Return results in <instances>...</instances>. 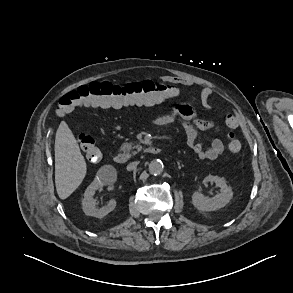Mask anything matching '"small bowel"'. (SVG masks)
I'll return each instance as SVG.
<instances>
[{
  "mask_svg": "<svg viewBox=\"0 0 293 293\" xmlns=\"http://www.w3.org/2000/svg\"><path fill=\"white\" fill-rule=\"evenodd\" d=\"M162 79L166 82L171 83H182L187 82L183 79L174 76H163ZM213 91L211 88H204L201 91L200 99L201 103L206 109H211L210 97ZM162 101H142L135 103L137 106L151 107L160 104ZM175 122H180L183 126L186 135L188 146L191 150L201 159L205 161H211L218 158L225 149L223 141L219 138H214L210 145L205 147L198 142V135L200 131L214 130L217 131L215 124L201 119L196 110L189 105H175L171 110L165 114H161L153 118L152 123L156 126H165Z\"/></svg>",
  "mask_w": 293,
  "mask_h": 293,
  "instance_id": "obj_1",
  "label": "small bowel"
}]
</instances>
